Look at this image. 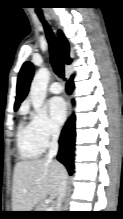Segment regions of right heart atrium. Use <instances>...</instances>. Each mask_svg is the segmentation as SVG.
Returning <instances> with one entry per match:
<instances>
[{"mask_svg":"<svg viewBox=\"0 0 123 219\" xmlns=\"http://www.w3.org/2000/svg\"><path fill=\"white\" fill-rule=\"evenodd\" d=\"M30 118V125L43 148L58 138V126L44 112H32Z\"/></svg>","mask_w":123,"mask_h":219,"instance_id":"obj_1","label":"right heart atrium"}]
</instances>
